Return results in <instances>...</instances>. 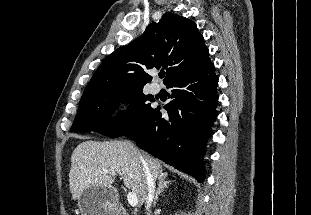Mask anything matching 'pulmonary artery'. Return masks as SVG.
<instances>
[{
	"mask_svg": "<svg viewBox=\"0 0 311 215\" xmlns=\"http://www.w3.org/2000/svg\"><path fill=\"white\" fill-rule=\"evenodd\" d=\"M159 90H160V88H159L158 85L153 84V85L151 86V92H152L153 94H157V93L159 92Z\"/></svg>",
	"mask_w": 311,
	"mask_h": 215,
	"instance_id": "e3ab8cb5",
	"label": "pulmonary artery"
}]
</instances>
